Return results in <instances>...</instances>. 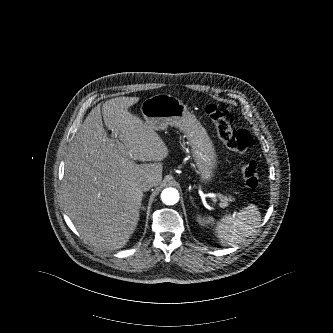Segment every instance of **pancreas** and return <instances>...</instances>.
<instances>
[{
	"instance_id": "obj_1",
	"label": "pancreas",
	"mask_w": 333,
	"mask_h": 333,
	"mask_svg": "<svg viewBox=\"0 0 333 333\" xmlns=\"http://www.w3.org/2000/svg\"><path fill=\"white\" fill-rule=\"evenodd\" d=\"M223 197L220 198V200L224 201V203H222L223 205H227V201H231L230 198H228L227 196L222 195Z\"/></svg>"
}]
</instances>
